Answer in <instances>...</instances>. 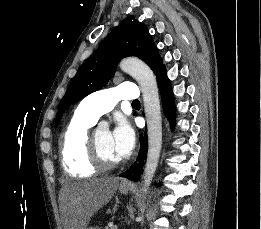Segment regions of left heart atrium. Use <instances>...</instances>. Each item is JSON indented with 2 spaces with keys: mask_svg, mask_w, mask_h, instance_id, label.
I'll list each match as a JSON object with an SVG mask.
<instances>
[{
  "mask_svg": "<svg viewBox=\"0 0 261 229\" xmlns=\"http://www.w3.org/2000/svg\"><path fill=\"white\" fill-rule=\"evenodd\" d=\"M112 146L120 159L127 158L135 146V131L127 121H120L111 133Z\"/></svg>",
  "mask_w": 261,
  "mask_h": 229,
  "instance_id": "obj_1",
  "label": "left heart atrium"
}]
</instances>
